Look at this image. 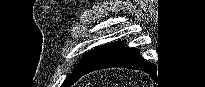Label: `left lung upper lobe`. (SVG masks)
<instances>
[{
	"label": "left lung upper lobe",
	"instance_id": "5c2ea615",
	"mask_svg": "<svg viewBox=\"0 0 205 87\" xmlns=\"http://www.w3.org/2000/svg\"><path fill=\"white\" fill-rule=\"evenodd\" d=\"M100 49L101 47L95 48L91 52L84 55L78 67L74 69L72 74L64 81L61 87H70L73 85L80 78L81 73L92 63Z\"/></svg>",
	"mask_w": 205,
	"mask_h": 87
}]
</instances>
